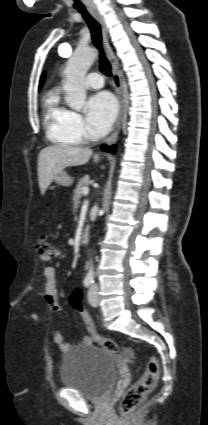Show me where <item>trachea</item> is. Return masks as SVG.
Returning <instances> with one entry per match:
<instances>
[{"label":"trachea","instance_id":"obj_1","mask_svg":"<svg viewBox=\"0 0 208 425\" xmlns=\"http://www.w3.org/2000/svg\"><path fill=\"white\" fill-rule=\"evenodd\" d=\"M77 10L82 14L84 20L89 25L94 45L99 50L100 70L106 76L110 77L112 75L111 65L108 62L102 48V34H101L100 24L88 13V11L85 8H78Z\"/></svg>","mask_w":208,"mask_h":425}]
</instances>
